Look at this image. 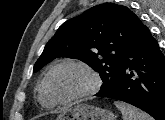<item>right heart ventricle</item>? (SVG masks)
Returning <instances> with one entry per match:
<instances>
[{"mask_svg":"<svg viewBox=\"0 0 165 120\" xmlns=\"http://www.w3.org/2000/svg\"><path fill=\"white\" fill-rule=\"evenodd\" d=\"M38 99H39L40 103L45 107L50 108L55 105L52 102V100L49 98V96L47 95V93L44 89L43 81L41 82V84L39 85V88H38Z\"/></svg>","mask_w":165,"mask_h":120,"instance_id":"obj_1","label":"right heart ventricle"}]
</instances>
